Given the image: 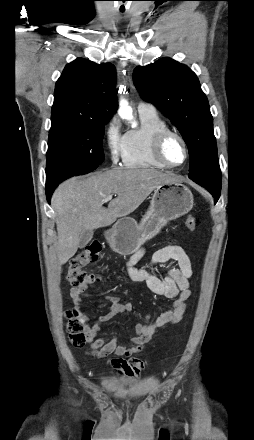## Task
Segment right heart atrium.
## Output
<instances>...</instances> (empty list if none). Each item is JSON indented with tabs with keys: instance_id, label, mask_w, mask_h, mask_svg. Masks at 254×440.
<instances>
[{
	"instance_id": "1",
	"label": "right heart atrium",
	"mask_w": 254,
	"mask_h": 440,
	"mask_svg": "<svg viewBox=\"0 0 254 440\" xmlns=\"http://www.w3.org/2000/svg\"><path fill=\"white\" fill-rule=\"evenodd\" d=\"M104 137L111 161L117 164L123 157L125 134L122 132L121 123L116 116H112L108 120Z\"/></svg>"
}]
</instances>
